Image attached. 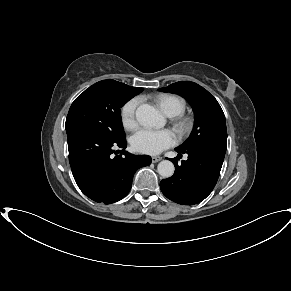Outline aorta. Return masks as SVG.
<instances>
[{"label": "aorta", "mask_w": 291, "mask_h": 291, "mask_svg": "<svg viewBox=\"0 0 291 291\" xmlns=\"http://www.w3.org/2000/svg\"><path fill=\"white\" fill-rule=\"evenodd\" d=\"M136 119L144 127H161L164 125V118L153 106L141 104L136 109ZM159 175L169 178L174 174V164L169 160L161 161L157 166Z\"/></svg>", "instance_id": "obj_1"}]
</instances>
